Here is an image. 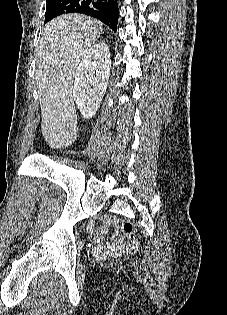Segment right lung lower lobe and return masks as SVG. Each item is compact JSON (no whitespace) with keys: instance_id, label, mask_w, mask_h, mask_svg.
Here are the masks:
<instances>
[{"instance_id":"right-lung-lower-lobe-1","label":"right lung lower lobe","mask_w":227,"mask_h":315,"mask_svg":"<svg viewBox=\"0 0 227 315\" xmlns=\"http://www.w3.org/2000/svg\"><path fill=\"white\" fill-rule=\"evenodd\" d=\"M67 13H82L97 18L115 32L118 24L117 0H48L45 22Z\"/></svg>"}]
</instances>
